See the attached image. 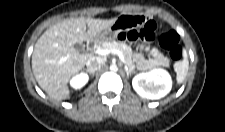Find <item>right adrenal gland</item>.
<instances>
[{"instance_id": "right-adrenal-gland-1", "label": "right adrenal gland", "mask_w": 225, "mask_h": 132, "mask_svg": "<svg viewBox=\"0 0 225 132\" xmlns=\"http://www.w3.org/2000/svg\"><path fill=\"white\" fill-rule=\"evenodd\" d=\"M88 73H90L92 76L94 75V71L90 72L89 69L86 70Z\"/></svg>"}]
</instances>
